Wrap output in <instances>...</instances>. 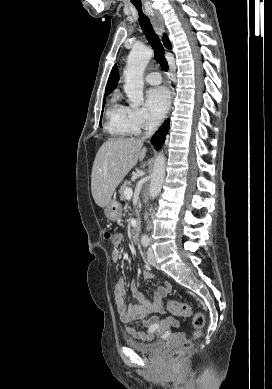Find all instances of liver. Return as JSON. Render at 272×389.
Returning <instances> with one entry per match:
<instances>
[{"label":"liver","instance_id":"6515ba94","mask_svg":"<svg viewBox=\"0 0 272 389\" xmlns=\"http://www.w3.org/2000/svg\"><path fill=\"white\" fill-rule=\"evenodd\" d=\"M147 149L140 138H110L99 148L92 167L91 191L95 203L105 207L116 187L142 161Z\"/></svg>","mask_w":272,"mask_h":389}]
</instances>
